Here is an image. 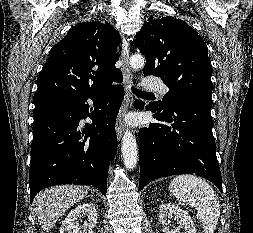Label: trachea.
<instances>
[{
    "label": "trachea",
    "mask_w": 253,
    "mask_h": 233,
    "mask_svg": "<svg viewBox=\"0 0 253 233\" xmlns=\"http://www.w3.org/2000/svg\"><path fill=\"white\" fill-rule=\"evenodd\" d=\"M132 89V92L138 96H143V95H147V94H151L150 92H144V91H141V90H138L134 87L131 88Z\"/></svg>",
    "instance_id": "1"
}]
</instances>
